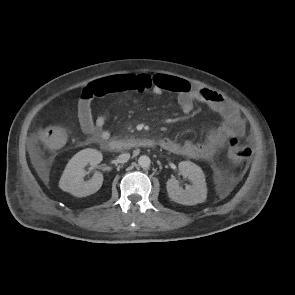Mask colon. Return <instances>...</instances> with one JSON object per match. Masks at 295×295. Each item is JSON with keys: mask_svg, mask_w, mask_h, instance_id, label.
<instances>
[{"mask_svg": "<svg viewBox=\"0 0 295 295\" xmlns=\"http://www.w3.org/2000/svg\"><path fill=\"white\" fill-rule=\"evenodd\" d=\"M39 139L46 148L55 150L64 145L66 134L59 128L51 127L42 130L39 133ZM227 156L238 166L239 171H243L252 156V150L242 144L237 138H231L228 141Z\"/></svg>", "mask_w": 295, "mask_h": 295, "instance_id": "obj_1", "label": "colon"}]
</instances>
